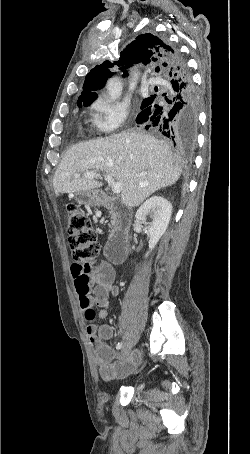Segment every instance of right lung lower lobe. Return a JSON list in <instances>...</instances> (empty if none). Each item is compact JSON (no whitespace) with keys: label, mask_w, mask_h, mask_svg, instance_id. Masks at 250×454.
<instances>
[{"label":"right lung lower lobe","mask_w":250,"mask_h":454,"mask_svg":"<svg viewBox=\"0 0 250 454\" xmlns=\"http://www.w3.org/2000/svg\"><path fill=\"white\" fill-rule=\"evenodd\" d=\"M168 48L171 67L164 79L169 91L162 97H149L141 105L136 123L147 130L161 132L174 143L191 146L195 143L198 126L196 92L180 51L170 43Z\"/></svg>","instance_id":"98d812e1"}]
</instances>
